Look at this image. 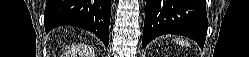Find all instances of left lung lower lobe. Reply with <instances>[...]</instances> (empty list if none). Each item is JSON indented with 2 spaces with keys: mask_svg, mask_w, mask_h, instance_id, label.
I'll list each match as a JSON object with an SVG mask.
<instances>
[{
  "mask_svg": "<svg viewBox=\"0 0 249 57\" xmlns=\"http://www.w3.org/2000/svg\"><path fill=\"white\" fill-rule=\"evenodd\" d=\"M164 34L190 37L203 48L207 34L206 0H146L142 46Z\"/></svg>",
  "mask_w": 249,
  "mask_h": 57,
  "instance_id": "obj_1",
  "label": "left lung lower lobe"
}]
</instances>
